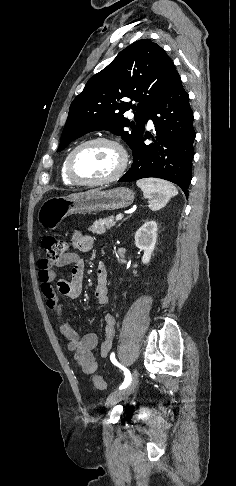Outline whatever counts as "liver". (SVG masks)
<instances>
[{
  "instance_id": "obj_1",
  "label": "liver",
  "mask_w": 236,
  "mask_h": 486,
  "mask_svg": "<svg viewBox=\"0 0 236 486\" xmlns=\"http://www.w3.org/2000/svg\"><path fill=\"white\" fill-rule=\"evenodd\" d=\"M98 190L99 189L90 190V191H87V192H84V193H74V194L69 195L68 197H75V196L86 194V193H92V192H95V191H98Z\"/></svg>"
}]
</instances>
